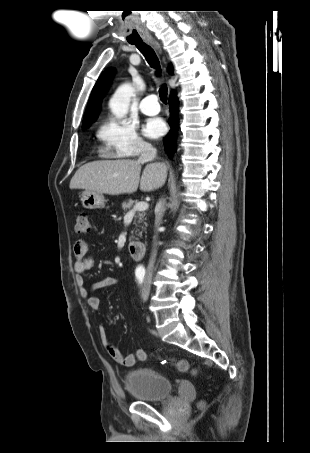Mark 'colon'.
Segmentation results:
<instances>
[{"label": "colon", "instance_id": "5ec220e1", "mask_svg": "<svg viewBox=\"0 0 310 453\" xmlns=\"http://www.w3.org/2000/svg\"><path fill=\"white\" fill-rule=\"evenodd\" d=\"M90 225L88 217L85 213L81 212L76 217L75 231L78 234H84L89 231ZM174 364L180 372H191L197 374V370L191 368L189 363L184 359L174 360Z\"/></svg>", "mask_w": 310, "mask_h": 453}]
</instances>
